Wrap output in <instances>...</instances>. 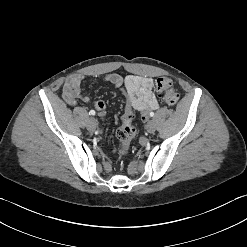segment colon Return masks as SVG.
<instances>
[{"instance_id":"5ec220e1","label":"colon","mask_w":247,"mask_h":247,"mask_svg":"<svg viewBox=\"0 0 247 247\" xmlns=\"http://www.w3.org/2000/svg\"><path fill=\"white\" fill-rule=\"evenodd\" d=\"M108 80L112 87L118 89L119 93L125 95L128 93L129 88L123 84L118 74L112 72L108 76ZM157 91L161 94L166 104L174 106L179 101V93L174 89L172 81L169 78L161 77L156 81ZM133 110L127 103L125 106L124 114L122 116V125L117 130V138L121 143V147L118 150L120 160H123L128 153L129 145L136 136V128L133 123Z\"/></svg>"}]
</instances>
